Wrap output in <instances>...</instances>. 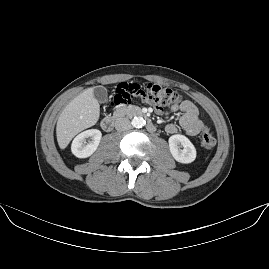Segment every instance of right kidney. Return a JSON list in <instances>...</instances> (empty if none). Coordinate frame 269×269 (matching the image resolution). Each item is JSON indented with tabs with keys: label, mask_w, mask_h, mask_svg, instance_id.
<instances>
[{
	"label": "right kidney",
	"mask_w": 269,
	"mask_h": 269,
	"mask_svg": "<svg viewBox=\"0 0 269 269\" xmlns=\"http://www.w3.org/2000/svg\"><path fill=\"white\" fill-rule=\"evenodd\" d=\"M90 137L91 140L86 142L85 139ZM101 139V132L97 129H89L78 134L71 146L73 154L77 157H87L97 148Z\"/></svg>",
	"instance_id": "right-kidney-1"
}]
</instances>
